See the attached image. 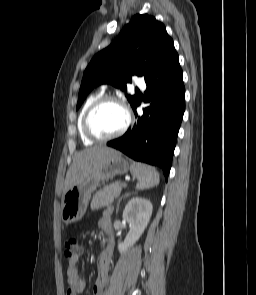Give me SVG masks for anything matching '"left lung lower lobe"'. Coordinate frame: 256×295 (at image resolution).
Masks as SVG:
<instances>
[{
  "label": "left lung lower lobe",
  "mask_w": 256,
  "mask_h": 295,
  "mask_svg": "<svg viewBox=\"0 0 256 295\" xmlns=\"http://www.w3.org/2000/svg\"><path fill=\"white\" fill-rule=\"evenodd\" d=\"M143 109L132 129L107 143L134 160L159 166L168 179L176 139L185 110V88L179 60L155 80L146 82ZM133 107L136 114V107Z\"/></svg>",
  "instance_id": "obj_1"
}]
</instances>
